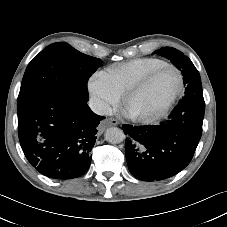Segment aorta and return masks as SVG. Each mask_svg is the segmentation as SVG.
Returning <instances> with one entry per match:
<instances>
[{"mask_svg":"<svg viewBox=\"0 0 227 227\" xmlns=\"http://www.w3.org/2000/svg\"><path fill=\"white\" fill-rule=\"evenodd\" d=\"M125 138L123 130L117 127L108 128L105 132V140L112 144L121 143Z\"/></svg>","mask_w":227,"mask_h":227,"instance_id":"obj_1","label":"aorta"}]
</instances>
